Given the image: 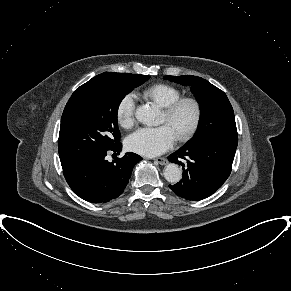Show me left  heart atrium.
<instances>
[{
    "label": "left heart atrium",
    "instance_id": "obj_1",
    "mask_svg": "<svg viewBox=\"0 0 291 291\" xmlns=\"http://www.w3.org/2000/svg\"><path fill=\"white\" fill-rule=\"evenodd\" d=\"M177 137L172 129L164 124L159 127H144L132 133L126 141L129 150L152 157L171 148Z\"/></svg>",
    "mask_w": 291,
    "mask_h": 291
}]
</instances>
